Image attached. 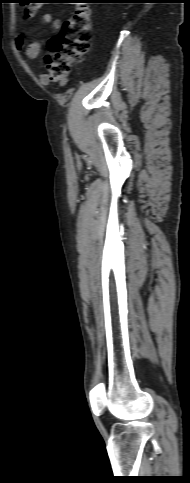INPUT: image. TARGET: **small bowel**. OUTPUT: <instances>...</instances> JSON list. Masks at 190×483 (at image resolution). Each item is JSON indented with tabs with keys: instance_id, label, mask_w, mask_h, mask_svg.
Listing matches in <instances>:
<instances>
[{
	"instance_id": "1",
	"label": "small bowel",
	"mask_w": 190,
	"mask_h": 483,
	"mask_svg": "<svg viewBox=\"0 0 190 483\" xmlns=\"http://www.w3.org/2000/svg\"><path fill=\"white\" fill-rule=\"evenodd\" d=\"M41 21L44 24H49L53 31H58L61 27V21L58 19H53L49 13H45L41 17ZM22 44V38L17 37L16 45L20 47ZM40 53V44L37 41H30L27 43L26 46V56L29 59H36ZM41 83L46 84L49 81V77L47 74H41L39 77Z\"/></svg>"
}]
</instances>
